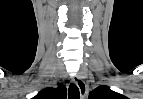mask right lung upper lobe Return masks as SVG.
Here are the masks:
<instances>
[{"mask_svg":"<svg viewBox=\"0 0 143 99\" xmlns=\"http://www.w3.org/2000/svg\"><path fill=\"white\" fill-rule=\"evenodd\" d=\"M33 99H66V87L59 84L57 88H45L41 90Z\"/></svg>","mask_w":143,"mask_h":99,"instance_id":"cb5924a9","label":"right lung upper lobe"}]
</instances>
